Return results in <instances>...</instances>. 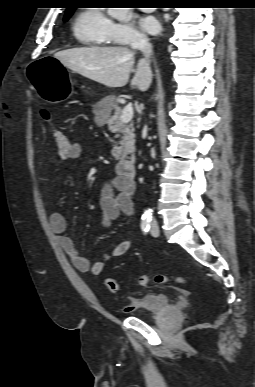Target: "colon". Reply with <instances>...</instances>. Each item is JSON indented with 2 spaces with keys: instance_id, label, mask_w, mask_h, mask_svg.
Wrapping results in <instances>:
<instances>
[{
  "instance_id": "colon-1",
  "label": "colon",
  "mask_w": 255,
  "mask_h": 387,
  "mask_svg": "<svg viewBox=\"0 0 255 387\" xmlns=\"http://www.w3.org/2000/svg\"><path fill=\"white\" fill-rule=\"evenodd\" d=\"M40 115L43 121L47 125H49L52 131L53 139L59 155L66 154L70 149V144H71L70 140L66 137V135L63 132L55 129L52 126L51 114L47 109H41ZM150 281H153L155 284H159V285L169 284V283L181 284V285L187 284V280L181 276H176L171 278L162 274H158L154 276L144 274L138 277V284L140 286H143V287L147 286L150 283ZM104 285L107 288V290L110 291L111 293H117L119 291V284L117 280H115L114 278H106L104 281Z\"/></svg>"
}]
</instances>
